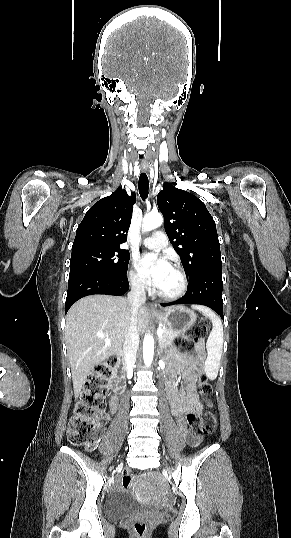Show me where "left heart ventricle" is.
<instances>
[{
	"label": "left heart ventricle",
	"mask_w": 291,
	"mask_h": 538,
	"mask_svg": "<svg viewBox=\"0 0 291 538\" xmlns=\"http://www.w3.org/2000/svg\"><path fill=\"white\" fill-rule=\"evenodd\" d=\"M180 285L181 280L179 275L171 268L164 275L160 285L157 288L166 293H173L180 288Z\"/></svg>",
	"instance_id": "b2bd125f"
}]
</instances>
